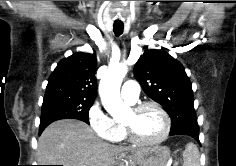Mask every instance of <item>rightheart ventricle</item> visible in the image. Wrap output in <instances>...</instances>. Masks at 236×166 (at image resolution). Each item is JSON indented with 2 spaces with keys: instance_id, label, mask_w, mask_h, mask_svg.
I'll use <instances>...</instances> for the list:
<instances>
[{
  "instance_id": "e07e8e85",
  "label": "right heart ventricle",
  "mask_w": 236,
  "mask_h": 166,
  "mask_svg": "<svg viewBox=\"0 0 236 166\" xmlns=\"http://www.w3.org/2000/svg\"><path fill=\"white\" fill-rule=\"evenodd\" d=\"M116 126V138L115 141H123L127 138L126 132L120 123H115Z\"/></svg>"
}]
</instances>
